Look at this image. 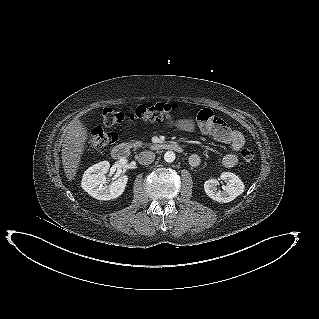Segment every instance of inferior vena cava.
Listing matches in <instances>:
<instances>
[{
    "mask_svg": "<svg viewBox=\"0 0 319 319\" xmlns=\"http://www.w3.org/2000/svg\"><path fill=\"white\" fill-rule=\"evenodd\" d=\"M155 159V153L152 151H143L138 155V162L142 165H149Z\"/></svg>",
    "mask_w": 319,
    "mask_h": 319,
    "instance_id": "1",
    "label": "inferior vena cava"
}]
</instances>
